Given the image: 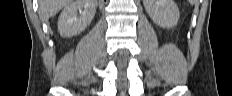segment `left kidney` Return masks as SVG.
I'll return each mask as SVG.
<instances>
[{"mask_svg": "<svg viewBox=\"0 0 232 96\" xmlns=\"http://www.w3.org/2000/svg\"><path fill=\"white\" fill-rule=\"evenodd\" d=\"M143 4L155 24L168 29L177 25L180 13L173 0H143Z\"/></svg>", "mask_w": 232, "mask_h": 96, "instance_id": "obj_1", "label": "left kidney"}]
</instances>
